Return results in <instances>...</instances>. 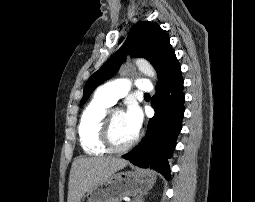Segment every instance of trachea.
<instances>
[{
  "mask_svg": "<svg viewBox=\"0 0 255 202\" xmlns=\"http://www.w3.org/2000/svg\"><path fill=\"white\" fill-rule=\"evenodd\" d=\"M145 96H150V94H148V93H145Z\"/></svg>",
  "mask_w": 255,
  "mask_h": 202,
  "instance_id": "trachea-1",
  "label": "trachea"
}]
</instances>
